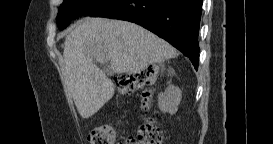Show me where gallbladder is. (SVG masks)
<instances>
[{
  "instance_id": "bac80fb5",
  "label": "gallbladder",
  "mask_w": 273,
  "mask_h": 144,
  "mask_svg": "<svg viewBox=\"0 0 273 144\" xmlns=\"http://www.w3.org/2000/svg\"><path fill=\"white\" fill-rule=\"evenodd\" d=\"M103 73H105L106 76H115L117 73L116 71V65H104L103 67Z\"/></svg>"
}]
</instances>
